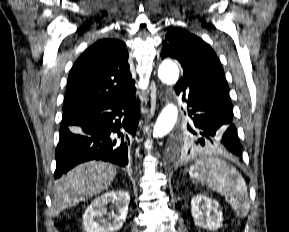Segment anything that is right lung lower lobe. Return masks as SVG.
<instances>
[{"instance_id": "obj_1", "label": "right lung lower lobe", "mask_w": 289, "mask_h": 232, "mask_svg": "<svg viewBox=\"0 0 289 232\" xmlns=\"http://www.w3.org/2000/svg\"><path fill=\"white\" fill-rule=\"evenodd\" d=\"M139 108L134 90L113 101L64 112L55 151L54 178L94 159L126 166L130 140L138 126Z\"/></svg>"}]
</instances>
